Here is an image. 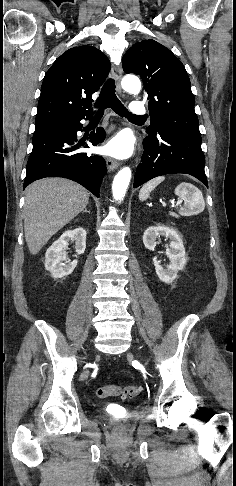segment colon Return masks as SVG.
Segmentation results:
<instances>
[{
    "label": "colon",
    "instance_id": "1",
    "mask_svg": "<svg viewBox=\"0 0 236 486\" xmlns=\"http://www.w3.org/2000/svg\"><path fill=\"white\" fill-rule=\"evenodd\" d=\"M142 391L140 385H129V386H116V385H105L97 390V396L99 398H107L111 396H119L122 398H133L138 396Z\"/></svg>",
    "mask_w": 236,
    "mask_h": 486
}]
</instances>
